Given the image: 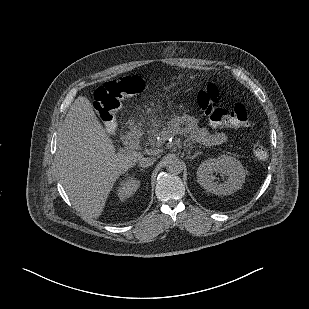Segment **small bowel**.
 <instances>
[{"label": "small bowel", "mask_w": 309, "mask_h": 309, "mask_svg": "<svg viewBox=\"0 0 309 309\" xmlns=\"http://www.w3.org/2000/svg\"><path fill=\"white\" fill-rule=\"evenodd\" d=\"M185 126L190 137L198 143L206 145H220L227 140L225 132H210L208 129L200 127L193 117H187L185 119Z\"/></svg>", "instance_id": "c3829d8e"}]
</instances>
